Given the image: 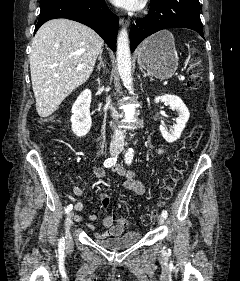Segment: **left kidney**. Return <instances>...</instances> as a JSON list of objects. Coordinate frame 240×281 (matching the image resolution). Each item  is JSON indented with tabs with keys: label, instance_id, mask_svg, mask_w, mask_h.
<instances>
[{
	"label": "left kidney",
	"instance_id": "left-kidney-1",
	"mask_svg": "<svg viewBox=\"0 0 240 281\" xmlns=\"http://www.w3.org/2000/svg\"><path fill=\"white\" fill-rule=\"evenodd\" d=\"M156 103L165 102L172 110L178 112L177 124L173 127V132H168L163 125H160V132L162 137L169 143L177 141L185 125L189 119L190 113L184 102L176 95L165 94L163 96H157L154 100Z\"/></svg>",
	"mask_w": 240,
	"mask_h": 281
}]
</instances>
